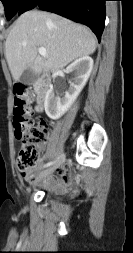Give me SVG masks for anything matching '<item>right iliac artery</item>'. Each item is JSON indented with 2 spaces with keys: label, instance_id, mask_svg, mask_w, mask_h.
I'll return each mask as SVG.
<instances>
[{
  "label": "right iliac artery",
  "instance_id": "obj_1",
  "mask_svg": "<svg viewBox=\"0 0 133 253\" xmlns=\"http://www.w3.org/2000/svg\"><path fill=\"white\" fill-rule=\"evenodd\" d=\"M54 163H55V161H50V162L46 163V164L43 166V168L49 167V166L53 165Z\"/></svg>",
  "mask_w": 133,
  "mask_h": 253
}]
</instances>
